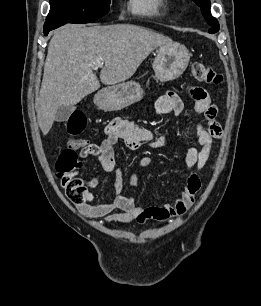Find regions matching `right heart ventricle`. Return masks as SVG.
<instances>
[{"instance_id":"1","label":"right heart ventricle","mask_w":261,"mask_h":306,"mask_svg":"<svg viewBox=\"0 0 261 306\" xmlns=\"http://www.w3.org/2000/svg\"><path fill=\"white\" fill-rule=\"evenodd\" d=\"M167 0H129L132 13L141 16H158L165 9Z\"/></svg>"}]
</instances>
